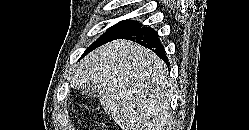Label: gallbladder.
Segmentation results:
<instances>
[{
	"label": "gallbladder",
	"mask_w": 249,
	"mask_h": 130,
	"mask_svg": "<svg viewBox=\"0 0 249 130\" xmlns=\"http://www.w3.org/2000/svg\"><path fill=\"white\" fill-rule=\"evenodd\" d=\"M81 93L87 98H96L99 95L97 84L93 81L86 82L81 88Z\"/></svg>",
	"instance_id": "1"
}]
</instances>
